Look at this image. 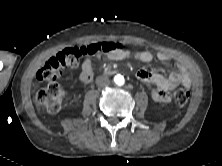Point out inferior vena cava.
<instances>
[{
  "instance_id": "inferior-vena-cava-1",
  "label": "inferior vena cava",
  "mask_w": 222,
  "mask_h": 166,
  "mask_svg": "<svg viewBox=\"0 0 222 166\" xmlns=\"http://www.w3.org/2000/svg\"><path fill=\"white\" fill-rule=\"evenodd\" d=\"M96 84L100 87H106L110 84V80L107 76L102 75L96 79Z\"/></svg>"
}]
</instances>
